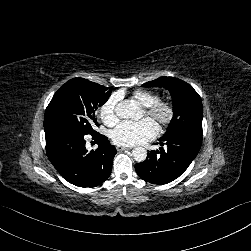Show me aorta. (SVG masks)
Returning a JSON list of instances; mask_svg holds the SVG:
<instances>
[{
  "instance_id": "1",
  "label": "aorta",
  "mask_w": 251,
  "mask_h": 251,
  "mask_svg": "<svg viewBox=\"0 0 251 251\" xmlns=\"http://www.w3.org/2000/svg\"><path fill=\"white\" fill-rule=\"evenodd\" d=\"M116 113L122 118H133L136 115V105L131 100H125L119 103L116 108ZM132 156L136 161H144L147 156V151L143 147H134L132 149Z\"/></svg>"
}]
</instances>
